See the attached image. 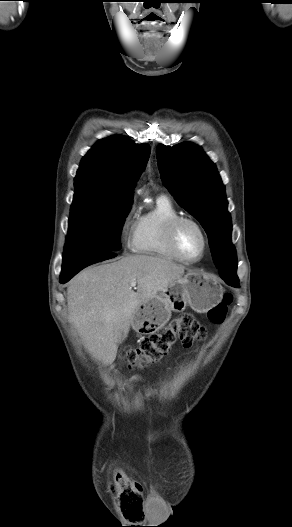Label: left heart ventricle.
Returning a JSON list of instances; mask_svg holds the SVG:
<instances>
[{
	"mask_svg": "<svg viewBox=\"0 0 292 527\" xmlns=\"http://www.w3.org/2000/svg\"><path fill=\"white\" fill-rule=\"evenodd\" d=\"M177 245L184 257L196 259L202 252V235L194 225L184 223L177 232Z\"/></svg>",
	"mask_w": 292,
	"mask_h": 527,
	"instance_id": "1",
	"label": "left heart ventricle"
}]
</instances>
